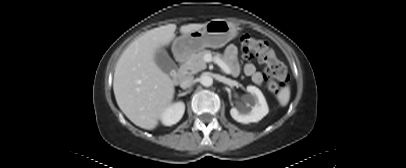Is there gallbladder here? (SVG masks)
Wrapping results in <instances>:
<instances>
[{"label":"gallbladder","mask_w":406,"mask_h":168,"mask_svg":"<svg viewBox=\"0 0 406 168\" xmlns=\"http://www.w3.org/2000/svg\"><path fill=\"white\" fill-rule=\"evenodd\" d=\"M155 62L159 68L167 74L171 73L175 69V63L168 55L164 47L159 48V50L156 52Z\"/></svg>","instance_id":"obj_1"}]
</instances>
